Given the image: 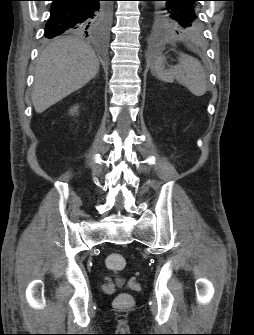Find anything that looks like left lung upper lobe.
<instances>
[{
	"mask_svg": "<svg viewBox=\"0 0 254 335\" xmlns=\"http://www.w3.org/2000/svg\"><path fill=\"white\" fill-rule=\"evenodd\" d=\"M153 1L150 8V24L156 32L197 33L201 20L199 0H147Z\"/></svg>",
	"mask_w": 254,
	"mask_h": 335,
	"instance_id": "left-lung-upper-lobe-1",
	"label": "left lung upper lobe"
}]
</instances>
